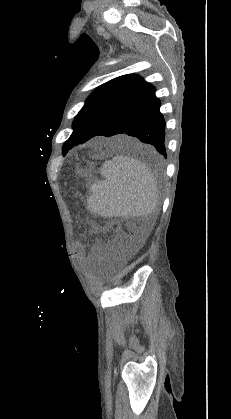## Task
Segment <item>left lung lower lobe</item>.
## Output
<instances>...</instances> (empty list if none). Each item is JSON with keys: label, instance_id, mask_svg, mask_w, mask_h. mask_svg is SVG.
Returning <instances> with one entry per match:
<instances>
[{"label": "left lung lower lobe", "instance_id": "obj_1", "mask_svg": "<svg viewBox=\"0 0 231 419\" xmlns=\"http://www.w3.org/2000/svg\"><path fill=\"white\" fill-rule=\"evenodd\" d=\"M160 101L155 88L143 81L122 103L111 110L85 137L84 143L95 136L127 134L156 148L165 158V121L160 113Z\"/></svg>", "mask_w": 231, "mask_h": 419}]
</instances>
